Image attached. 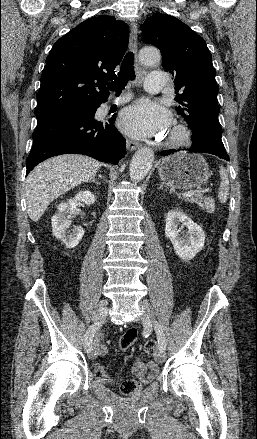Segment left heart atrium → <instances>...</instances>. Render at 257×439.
Listing matches in <instances>:
<instances>
[{"label":"left heart atrium","instance_id":"39dd6f15","mask_svg":"<svg viewBox=\"0 0 257 439\" xmlns=\"http://www.w3.org/2000/svg\"><path fill=\"white\" fill-rule=\"evenodd\" d=\"M171 115L163 106L139 101L124 109L119 118L120 128L129 135L142 138L156 137L167 131Z\"/></svg>","mask_w":257,"mask_h":439}]
</instances>
